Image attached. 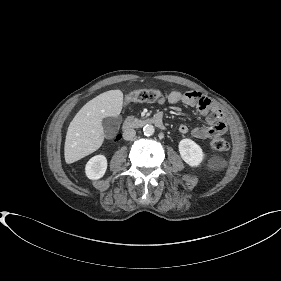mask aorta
Segmentation results:
<instances>
[{
	"label": "aorta",
	"mask_w": 281,
	"mask_h": 281,
	"mask_svg": "<svg viewBox=\"0 0 281 281\" xmlns=\"http://www.w3.org/2000/svg\"><path fill=\"white\" fill-rule=\"evenodd\" d=\"M155 132V128L153 125L147 124L143 127V133L145 136H151Z\"/></svg>",
	"instance_id": "762f6f07"
}]
</instances>
